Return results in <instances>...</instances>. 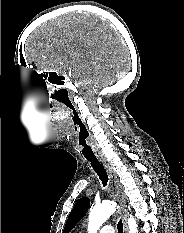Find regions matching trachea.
Wrapping results in <instances>:
<instances>
[{
	"label": "trachea",
	"mask_w": 184,
	"mask_h": 233,
	"mask_svg": "<svg viewBox=\"0 0 184 233\" xmlns=\"http://www.w3.org/2000/svg\"><path fill=\"white\" fill-rule=\"evenodd\" d=\"M78 141L81 147V151L83 156L91 163L94 171L99 176V179L102 181L103 186L105 187L108 182V175L98 160L97 156L95 155V151L91 144L89 143V132L85 125H81L78 130ZM118 233H123V224L120 220L117 224Z\"/></svg>",
	"instance_id": "1"
}]
</instances>
